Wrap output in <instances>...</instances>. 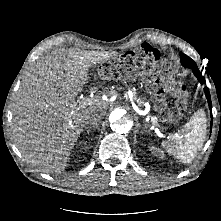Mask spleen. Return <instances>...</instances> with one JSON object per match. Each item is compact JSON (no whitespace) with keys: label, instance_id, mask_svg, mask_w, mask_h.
I'll return each mask as SVG.
<instances>
[{"label":"spleen","instance_id":"3e777b00","mask_svg":"<svg viewBox=\"0 0 221 221\" xmlns=\"http://www.w3.org/2000/svg\"><path fill=\"white\" fill-rule=\"evenodd\" d=\"M206 117L202 110L194 113L193 118L182 128L174 140L164 141L162 147L175 158L190 163L203 146L206 137Z\"/></svg>","mask_w":221,"mask_h":221}]
</instances>
